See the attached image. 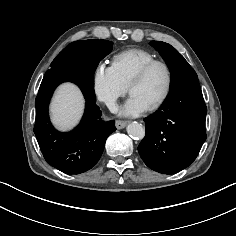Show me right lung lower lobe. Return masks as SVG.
<instances>
[{
  "label": "right lung lower lobe",
  "mask_w": 236,
  "mask_h": 236,
  "mask_svg": "<svg viewBox=\"0 0 236 236\" xmlns=\"http://www.w3.org/2000/svg\"><path fill=\"white\" fill-rule=\"evenodd\" d=\"M93 75L84 69L47 71L35 100L34 133L48 164L67 174L91 169L101 157L107 137L116 130L115 121L104 122L96 105ZM77 84L86 100L80 124L69 133L57 131L48 116V105L55 88L62 82Z\"/></svg>",
  "instance_id": "1"
}]
</instances>
